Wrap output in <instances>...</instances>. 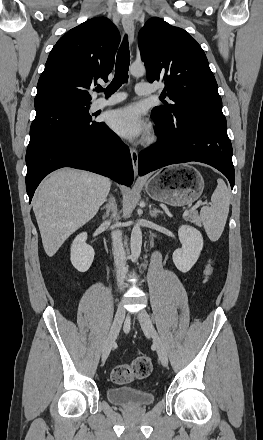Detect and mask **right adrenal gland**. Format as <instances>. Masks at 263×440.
<instances>
[{
	"instance_id": "obj_1",
	"label": "right adrenal gland",
	"mask_w": 263,
	"mask_h": 440,
	"mask_svg": "<svg viewBox=\"0 0 263 440\" xmlns=\"http://www.w3.org/2000/svg\"><path fill=\"white\" fill-rule=\"evenodd\" d=\"M113 208H114V199L113 197H110L108 203L101 208V210H105V213L103 214L102 217L103 220H105L109 216L110 212L113 211Z\"/></svg>"
}]
</instances>
